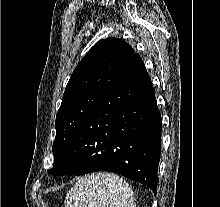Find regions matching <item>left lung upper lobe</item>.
<instances>
[{
  "mask_svg": "<svg viewBox=\"0 0 220 207\" xmlns=\"http://www.w3.org/2000/svg\"><path fill=\"white\" fill-rule=\"evenodd\" d=\"M124 40L107 38L97 42L73 71L56 115V137L52 146L54 164L91 118L121 73L134 58Z\"/></svg>",
  "mask_w": 220,
  "mask_h": 207,
  "instance_id": "5c2ea615",
  "label": "left lung upper lobe"
}]
</instances>
